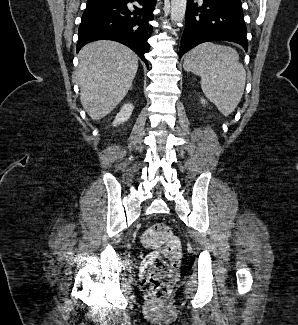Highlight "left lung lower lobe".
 I'll list each match as a JSON object with an SVG mask.
<instances>
[{
  "label": "left lung lower lobe",
  "mask_w": 298,
  "mask_h": 325,
  "mask_svg": "<svg viewBox=\"0 0 298 325\" xmlns=\"http://www.w3.org/2000/svg\"><path fill=\"white\" fill-rule=\"evenodd\" d=\"M185 19L179 58L208 41H231L248 50L241 0H187Z\"/></svg>",
  "instance_id": "obj_1"
}]
</instances>
